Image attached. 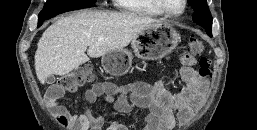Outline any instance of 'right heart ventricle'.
<instances>
[{"mask_svg":"<svg viewBox=\"0 0 257 130\" xmlns=\"http://www.w3.org/2000/svg\"><path fill=\"white\" fill-rule=\"evenodd\" d=\"M117 6L130 14L140 16H161L163 13L156 8L152 0H114Z\"/></svg>","mask_w":257,"mask_h":130,"instance_id":"e07e8e85","label":"right heart ventricle"}]
</instances>
